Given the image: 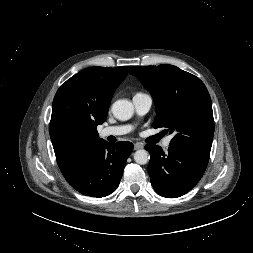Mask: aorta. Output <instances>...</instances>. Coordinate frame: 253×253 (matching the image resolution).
I'll list each match as a JSON object with an SVG mask.
<instances>
[{"label": "aorta", "instance_id": "obj_1", "mask_svg": "<svg viewBox=\"0 0 253 253\" xmlns=\"http://www.w3.org/2000/svg\"><path fill=\"white\" fill-rule=\"evenodd\" d=\"M112 113L118 120L126 121L133 116L134 106L128 100H117L112 105ZM149 159V153L144 149L137 150L134 153V160L140 165L147 164Z\"/></svg>", "mask_w": 253, "mask_h": 253}]
</instances>
